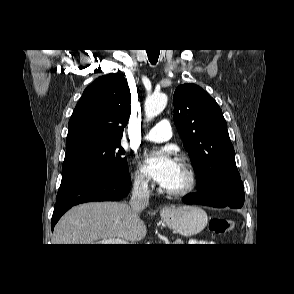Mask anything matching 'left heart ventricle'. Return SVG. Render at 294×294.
Returning <instances> with one entry per match:
<instances>
[{
  "instance_id": "left-heart-ventricle-1",
  "label": "left heart ventricle",
  "mask_w": 294,
  "mask_h": 294,
  "mask_svg": "<svg viewBox=\"0 0 294 294\" xmlns=\"http://www.w3.org/2000/svg\"><path fill=\"white\" fill-rule=\"evenodd\" d=\"M186 184V175L181 168L180 165L176 164V168L169 179V181L166 183L164 188L170 189V190H177L184 187Z\"/></svg>"
}]
</instances>
